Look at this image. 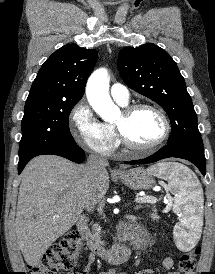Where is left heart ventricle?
I'll list each match as a JSON object with an SVG mask.
<instances>
[{
	"mask_svg": "<svg viewBox=\"0 0 215 274\" xmlns=\"http://www.w3.org/2000/svg\"><path fill=\"white\" fill-rule=\"evenodd\" d=\"M115 123L119 124L129 140L137 145L151 144L163 133L161 118L149 109L138 110L128 118L121 113Z\"/></svg>",
	"mask_w": 215,
	"mask_h": 274,
	"instance_id": "1",
	"label": "left heart ventricle"
}]
</instances>
